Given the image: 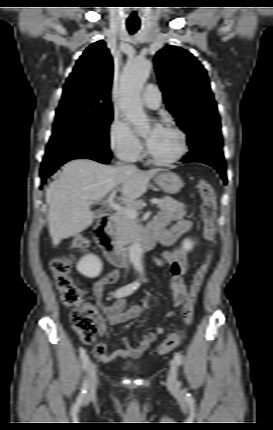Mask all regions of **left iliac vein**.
<instances>
[{"label":"left iliac vein","instance_id":"obj_1","mask_svg":"<svg viewBox=\"0 0 273 430\" xmlns=\"http://www.w3.org/2000/svg\"><path fill=\"white\" fill-rule=\"evenodd\" d=\"M167 385L170 390L176 391L179 388L177 380V364L174 360L170 362V370L167 377Z\"/></svg>","mask_w":273,"mask_h":430}]
</instances>
